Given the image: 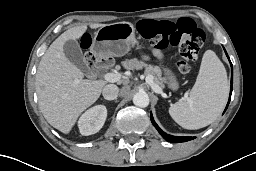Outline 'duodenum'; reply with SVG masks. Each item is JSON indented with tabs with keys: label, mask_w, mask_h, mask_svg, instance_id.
<instances>
[{
	"label": "duodenum",
	"mask_w": 256,
	"mask_h": 171,
	"mask_svg": "<svg viewBox=\"0 0 256 171\" xmlns=\"http://www.w3.org/2000/svg\"><path fill=\"white\" fill-rule=\"evenodd\" d=\"M96 66L106 68L111 65V59L109 58H97L96 61Z\"/></svg>",
	"instance_id": "obj_1"
}]
</instances>
